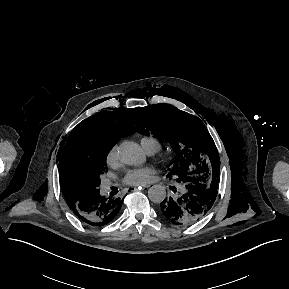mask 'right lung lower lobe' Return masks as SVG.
Instances as JSON below:
<instances>
[{
  "instance_id": "right-lung-lower-lobe-1",
  "label": "right lung lower lobe",
  "mask_w": 289,
  "mask_h": 289,
  "mask_svg": "<svg viewBox=\"0 0 289 289\" xmlns=\"http://www.w3.org/2000/svg\"><path fill=\"white\" fill-rule=\"evenodd\" d=\"M123 200L119 197L106 198L99 190L86 194L77 203L69 205L73 213L84 223L91 226L108 224L119 212Z\"/></svg>"
}]
</instances>
